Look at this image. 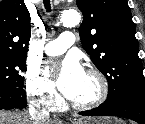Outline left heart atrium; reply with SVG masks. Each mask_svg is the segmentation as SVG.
Here are the masks:
<instances>
[{
    "instance_id": "obj_1",
    "label": "left heart atrium",
    "mask_w": 145,
    "mask_h": 124,
    "mask_svg": "<svg viewBox=\"0 0 145 124\" xmlns=\"http://www.w3.org/2000/svg\"><path fill=\"white\" fill-rule=\"evenodd\" d=\"M84 75L85 73L78 60L74 57H69L60 68L57 86L64 96L70 98L74 95Z\"/></svg>"
}]
</instances>
